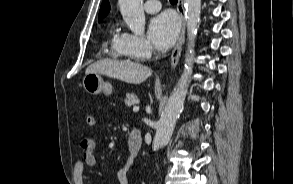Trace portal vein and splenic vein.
<instances>
[{
    "label": "portal vein and splenic vein",
    "instance_id": "1",
    "mask_svg": "<svg viewBox=\"0 0 293 184\" xmlns=\"http://www.w3.org/2000/svg\"><path fill=\"white\" fill-rule=\"evenodd\" d=\"M139 111V107L135 106L133 107V112H138Z\"/></svg>",
    "mask_w": 293,
    "mask_h": 184
}]
</instances>
